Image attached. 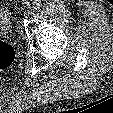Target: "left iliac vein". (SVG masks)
I'll use <instances>...</instances> for the list:
<instances>
[{
  "mask_svg": "<svg viewBox=\"0 0 113 113\" xmlns=\"http://www.w3.org/2000/svg\"><path fill=\"white\" fill-rule=\"evenodd\" d=\"M33 13H34L33 9H32V8H28V9H26V11L24 12V16H25L26 18H28V17L32 16Z\"/></svg>",
  "mask_w": 113,
  "mask_h": 113,
  "instance_id": "obj_1",
  "label": "left iliac vein"
}]
</instances>
